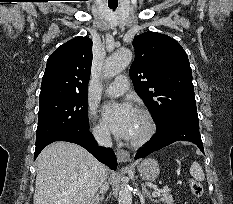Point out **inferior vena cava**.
Segmentation results:
<instances>
[{"mask_svg":"<svg viewBox=\"0 0 233 204\" xmlns=\"http://www.w3.org/2000/svg\"><path fill=\"white\" fill-rule=\"evenodd\" d=\"M94 136L99 146L112 147V141L108 131H97ZM107 189L108 184L104 183L100 188V193H104Z\"/></svg>","mask_w":233,"mask_h":204,"instance_id":"602c4592","label":"inferior vena cava"}]
</instances>
